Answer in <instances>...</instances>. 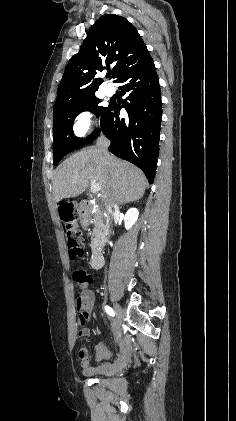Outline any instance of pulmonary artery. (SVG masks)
Segmentation results:
<instances>
[{"label": "pulmonary artery", "mask_w": 236, "mask_h": 421, "mask_svg": "<svg viewBox=\"0 0 236 421\" xmlns=\"http://www.w3.org/2000/svg\"><path fill=\"white\" fill-rule=\"evenodd\" d=\"M114 93H115V90H114V88L112 86H106L104 88V94H105V96L111 97V96L114 95Z\"/></svg>", "instance_id": "1"}]
</instances>
